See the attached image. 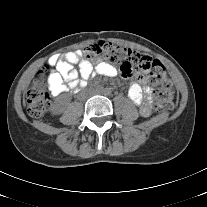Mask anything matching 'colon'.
<instances>
[{"label":"colon","mask_w":207,"mask_h":207,"mask_svg":"<svg viewBox=\"0 0 207 207\" xmlns=\"http://www.w3.org/2000/svg\"><path fill=\"white\" fill-rule=\"evenodd\" d=\"M87 56H101L121 66L123 76L130 77L137 71L145 72L147 83L155 87L154 105L159 111L170 112L174 106V95L171 81L164 65L152 59L150 53H138L132 49L107 42H99L86 50ZM48 67L42 68L32 86L27 91L25 105L28 114L33 118L41 117L50 106Z\"/></svg>","instance_id":"obj_1"}]
</instances>
